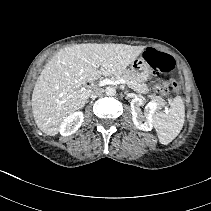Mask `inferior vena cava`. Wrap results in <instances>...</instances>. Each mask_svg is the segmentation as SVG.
Wrapping results in <instances>:
<instances>
[{
	"label": "inferior vena cava",
	"instance_id": "1",
	"mask_svg": "<svg viewBox=\"0 0 211 211\" xmlns=\"http://www.w3.org/2000/svg\"><path fill=\"white\" fill-rule=\"evenodd\" d=\"M104 90L103 89H95L91 92L90 98H97L103 94Z\"/></svg>",
	"mask_w": 211,
	"mask_h": 211
}]
</instances>
